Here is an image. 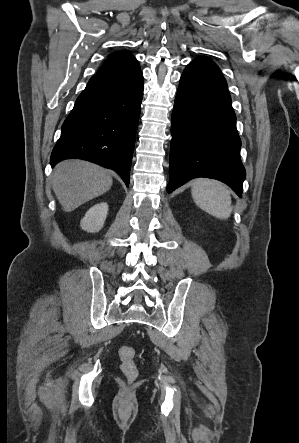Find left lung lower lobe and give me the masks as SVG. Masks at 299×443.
<instances>
[{"instance_id": "obj_1", "label": "left lung lower lobe", "mask_w": 299, "mask_h": 443, "mask_svg": "<svg viewBox=\"0 0 299 443\" xmlns=\"http://www.w3.org/2000/svg\"><path fill=\"white\" fill-rule=\"evenodd\" d=\"M171 193L196 177L229 185L242 196L245 168L241 140L225 78L220 72L190 63L185 68L172 113Z\"/></svg>"}]
</instances>
